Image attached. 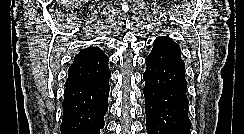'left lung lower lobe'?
Wrapping results in <instances>:
<instances>
[{"label":"left lung lower lobe","mask_w":244,"mask_h":134,"mask_svg":"<svg viewBox=\"0 0 244 134\" xmlns=\"http://www.w3.org/2000/svg\"><path fill=\"white\" fill-rule=\"evenodd\" d=\"M143 79L148 134H189L186 88L161 86L147 71Z\"/></svg>","instance_id":"left-lung-lower-lobe-1"}]
</instances>
